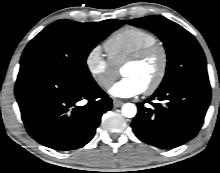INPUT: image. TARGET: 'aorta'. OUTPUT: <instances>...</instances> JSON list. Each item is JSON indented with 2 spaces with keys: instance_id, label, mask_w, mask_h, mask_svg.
Listing matches in <instances>:
<instances>
[{
  "instance_id": "762f6f07",
  "label": "aorta",
  "mask_w": 220,
  "mask_h": 173,
  "mask_svg": "<svg viewBox=\"0 0 220 173\" xmlns=\"http://www.w3.org/2000/svg\"><path fill=\"white\" fill-rule=\"evenodd\" d=\"M137 113V108L132 103H126L122 106V114L127 118L135 117Z\"/></svg>"
}]
</instances>
